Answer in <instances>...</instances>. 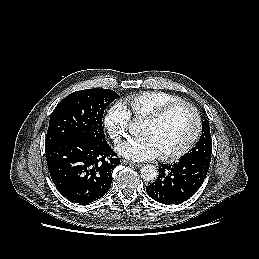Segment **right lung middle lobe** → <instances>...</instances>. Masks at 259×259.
<instances>
[{"label": "right lung middle lobe", "mask_w": 259, "mask_h": 259, "mask_svg": "<svg viewBox=\"0 0 259 259\" xmlns=\"http://www.w3.org/2000/svg\"><path fill=\"white\" fill-rule=\"evenodd\" d=\"M118 94L110 89H85L66 96L53 110L45 145L66 138L106 141L102 117L106 107Z\"/></svg>", "instance_id": "dd1d6c3e"}]
</instances>
